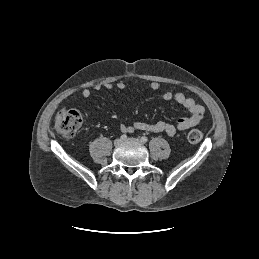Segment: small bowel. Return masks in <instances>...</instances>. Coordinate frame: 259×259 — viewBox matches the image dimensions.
<instances>
[{"label":"small bowel","instance_id":"c3829d8e","mask_svg":"<svg viewBox=\"0 0 259 259\" xmlns=\"http://www.w3.org/2000/svg\"><path fill=\"white\" fill-rule=\"evenodd\" d=\"M150 89L158 90L160 83L153 81L149 85ZM95 90H101L105 88L107 90L119 89L123 90L126 88V84L123 81H118L115 84L103 83L97 84ZM91 95V90L85 88L82 91V96L88 98ZM162 98L166 101L174 100L177 104L187 109L189 114L178 118L176 124L168 123L165 121H158L155 123H147L142 121L134 122L132 125H121L120 130L123 133H133L135 130H141L153 133H165L166 135L173 137L178 131L187 130L193 126H196L203 118L204 107L195 102L191 97H187L182 92L173 93L171 91H165L162 93Z\"/></svg>","mask_w":259,"mask_h":259}]
</instances>
